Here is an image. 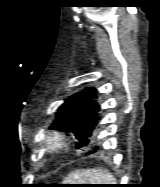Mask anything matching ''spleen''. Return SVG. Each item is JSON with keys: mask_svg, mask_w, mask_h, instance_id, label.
<instances>
[{"mask_svg": "<svg viewBox=\"0 0 160 187\" xmlns=\"http://www.w3.org/2000/svg\"><path fill=\"white\" fill-rule=\"evenodd\" d=\"M66 182L68 184H113L115 178L105 169H85L70 173Z\"/></svg>", "mask_w": 160, "mask_h": 187, "instance_id": "obj_1", "label": "spleen"}]
</instances>
